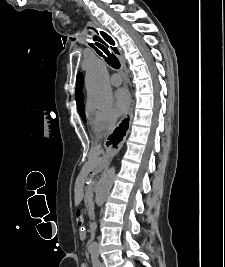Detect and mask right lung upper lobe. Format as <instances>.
<instances>
[{
	"mask_svg": "<svg viewBox=\"0 0 225 267\" xmlns=\"http://www.w3.org/2000/svg\"><path fill=\"white\" fill-rule=\"evenodd\" d=\"M82 89H83V75L82 73H79L76 78V103L78 109L84 107L83 104L84 96L82 93Z\"/></svg>",
	"mask_w": 225,
	"mask_h": 267,
	"instance_id": "right-lung-upper-lobe-1",
	"label": "right lung upper lobe"
}]
</instances>
